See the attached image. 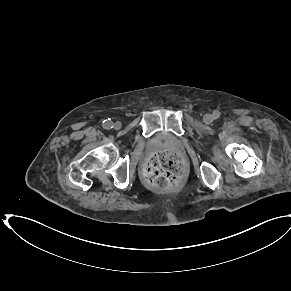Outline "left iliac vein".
Wrapping results in <instances>:
<instances>
[{
    "label": "left iliac vein",
    "mask_w": 291,
    "mask_h": 291,
    "mask_svg": "<svg viewBox=\"0 0 291 291\" xmlns=\"http://www.w3.org/2000/svg\"><path fill=\"white\" fill-rule=\"evenodd\" d=\"M203 120H204L205 123L210 124V123L213 121V116L210 115V114H206V115L203 117Z\"/></svg>",
    "instance_id": "1"
}]
</instances>
